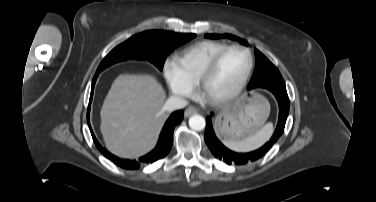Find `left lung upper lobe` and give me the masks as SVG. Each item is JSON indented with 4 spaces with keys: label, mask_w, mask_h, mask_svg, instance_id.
Here are the masks:
<instances>
[{
    "label": "left lung upper lobe",
    "mask_w": 376,
    "mask_h": 202,
    "mask_svg": "<svg viewBox=\"0 0 376 202\" xmlns=\"http://www.w3.org/2000/svg\"><path fill=\"white\" fill-rule=\"evenodd\" d=\"M205 37L211 39L227 37L232 40H237L242 44L246 43L244 40L230 34H205ZM255 55L256 68L250 83L248 84V89L250 90L255 87H264L267 89L278 88L286 91L285 82L278 69L257 49H255Z\"/></svg>",
    "instance_id": "5c2ea615"
}]
</instances>
